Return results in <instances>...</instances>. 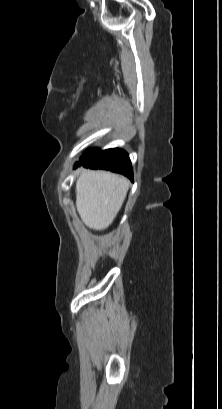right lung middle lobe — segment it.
Returning <instances> with one entry per match:
<instances>
[{"mask_svg": "<svg viewBox=\"0 0 222 409\" xmlns=\"http://www.w3.org/2000/svg\"><path fill=\"white\" fill-rule=\"evenodd\" d=\"M99 151H100L99 149H90V150H87V151L83 154V156H82L80 162L85 161V160L91 158L92 156H94L95 154H97Z\"/></svg>", "mask_w": 222, "mask_h": 409, "instance_id": "obj_1", "label": "right lung middle lobe"}]
</instances>
